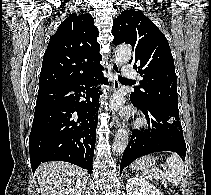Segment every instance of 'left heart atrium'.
<instances>
[{"instance_id": "39dd6f15", "label": "left heart atrium", "mask_w": 211, "mask_h": 195, "mask_svg": "<svg viewBox=\"0 0 211 195\" xmlns=\"http://www.w3.org/2000/svg\"><path fill=\"white\" fill-rule=\"evenodd\" d=\"M114 108H120L121 107V101L119 99H114L112 103Z\"/></svg>"}]
</instances>
